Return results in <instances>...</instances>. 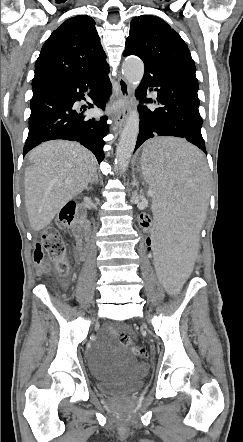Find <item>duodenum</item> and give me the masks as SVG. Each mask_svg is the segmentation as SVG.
Masks as SVG:
<instances>
[{"mask_svg": "<svg viewBox=\"0 0 243 442\" xmlns=\"http://www.w3.org/2000/svg\"><path fill=\"white\" fill-rule=\"evenodd\" d=\"M88 231L89 228L83 218L80 216L74 226V233L78 245L79 252L82 257H85L88 252Z\"/></svg>", "mask_w": 243, "mask_h": 442, "instance_id": "1", "label": "duodenum"}]
</instances>
